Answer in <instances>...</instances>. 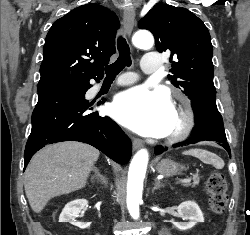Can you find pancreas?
I'll use <instances>...</instances> for the list:
<instances>
[{
    "mask_svg": "<svg viewBox=\"0 0 250 235\" xmlns=\"http://www.w3.org/2000/svg\"><path fill=\"white\" fill-rule=\"evenodd\" d=\"M199 182H200V178L195 177V178H194V182H193L192 184H187L186 186L192 185V187H195L196 185L199 184Z\"/></svg>",
    "mask_w": 250,
    "mask_h": 235,
    "instance_id": "cf45deb5",
    "label": "pancreas"
}]
</instances>
